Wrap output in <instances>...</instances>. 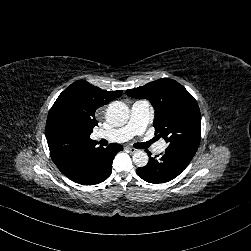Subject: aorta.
<instances>
[{
	"mask_svg": "<svg viewBox=\"0 0 251 251\" xmlns=\"http://www.w3.org/2000/svg\"><path fill=\"white\" fill-rule=\"evenodd\" d=\"M129 119V108L121 101H114L109 104L106 111V121L112 125L121 127L128 122ZM133 163L137 167H144L148 163V155L142 150H137L132 156Z\"/></svg>",
	"mask_w": 251,
	"mask_h": 251,
	"instance_id": "762f6f07",
	"label": "aorta"
}]
</instances>
